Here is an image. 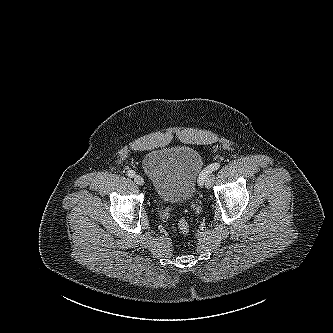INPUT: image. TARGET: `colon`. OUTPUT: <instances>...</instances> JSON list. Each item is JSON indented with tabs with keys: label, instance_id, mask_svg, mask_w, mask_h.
<instances>
[{
	"label": "colon",
	"instance_id": "obj_1",
	"mask_svg": "<svg viewBox=\"0 0 333 333\" xmlns=\"http://www.w3.org/2000/svg\"><path fill=\"white\" fill-rule=\"evenodd\" d=\"M177 226L183 234H187L190 231V224L185 218H180L177 222Z\"/></svg>",
	"mask_w": 333,
	"mask_h": 333
}]
</instances>
